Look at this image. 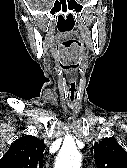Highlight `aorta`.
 <instances>
[{"instance_id": "aorta-1", "label": "aorta", "mask_w": 127, "mask_h": 168, "mask_svg": "<svg viewBox=\"0 0 127 168\" xmlns=\"http://www.w3.org/2000/svg\"><path fill=\"white\" fill-rule=\"evenodd\" d=\"M81 155L74 145L63 147L56 159L55 168H80Z\"/></svg>"}]
</instances>
